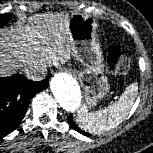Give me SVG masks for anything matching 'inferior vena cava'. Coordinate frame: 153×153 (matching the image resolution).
I'll list each match as a JSON object with an SVG mask.
<instances>
[{"label":"inferior vena cava","instance_id":"602c4592","mask_svg":"<svg viewBox=\"0 0 153 153\" xmlns=\"http://www.w3.org/2000/svg\"><path fill=\"white\" fill-rule=\"evenodd\" d=\"M26 77L33 81H40L47 75L46 64L43 62L32 63L24 68Z\"/></svg>","mask_w":153,"mask_h":153}]
</instances>
